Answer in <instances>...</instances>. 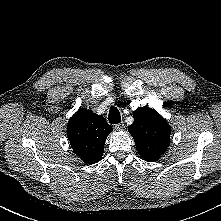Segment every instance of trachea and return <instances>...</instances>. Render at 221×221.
<instances>
[{
  "label": "trachea",
  "instance_id": "trachea-1",
  "mask_svg": "<svg viewBox=\"0 0 221 221\" xmlns=\"http://www.w3.org/2000/svg\"><path fill=\"white\" fill-rule=\"evenodd\" d=\"M109 123L111 124H118L121 121L120 112L118 109L114 106H112L109 110V116H108Z\"/></svg>",
  "mask_w": 221,
  "mask_h": 221
}]
</instances>
